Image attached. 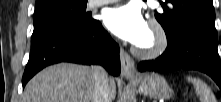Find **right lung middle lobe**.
Listing matches in <instances>:
<instances>
[{"mask_svg":"<svg viewBox=\"0 0 221 102\" xmlns=\"http://www.w3.org/2000/svg\"><path fill=\"white\" fill-rule=\"evenodd\" d=\"M86 6L87 0H47L35 7L31 46L58 30L91 24Z\"/></svg>","mask_w":221,"mask_h":102,"instance_id":"obj_1","label":"right lung middle lobe"}]
</instances>
